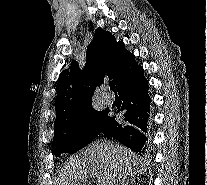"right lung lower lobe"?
Segmentation results:
<instances>
[{
	"mask_svg": "<svg viewBox=\"0 0 207 185\" xmlns=\"http://www.w3.org/2000/svg\"><path fill=\"white\" fill-rule=\"evenodd\" d=\"M122 106L120 116L111 117L100 133L118 139L123 145L140 152L147 135L150 118V97L148 82L143 71L116 86Z\"/></svg>",
	"mask_w": 207,
	"mask_h": 185,
	"instance_id": "obj_1",
	"label": "right lung lower lobe"
}]
</instances>
